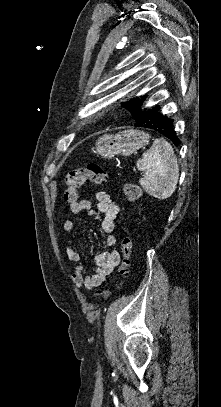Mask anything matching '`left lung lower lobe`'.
I'll return each instance as SVG.
<instances>
[{"label": "left lung lower lobe", "instance_id": "left-lung-lower-lobe-1", "mask_svg": "<svg viewBox=\"0 0 221 407\" xmlns=\"http://www.w3.org/2000/svg\"><path fill=\"white\" fill-rule=\"evenodd\" d=\"M146 96L141 98V105L135 116V126L154 129L161 133L163 136L170 139L175 145L180 144V140L176 136L173 128V119L163 116L158 105L146 106L143 105Z\"/></svg>", "mask_w": 221, "mask_h": 407}]
</instances>
